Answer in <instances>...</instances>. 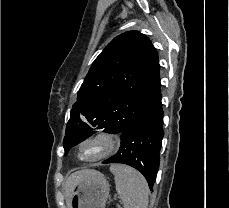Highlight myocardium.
<instances>
[{
  "mask_svg": "<svg viewBox=\"0 0 229 208\" xmlns=\"http://www.w3.org/2000/svg\"><path fill=\"white\" fill-rule=\"evenodd\" d=\"M112 137V138H111ZM84 147H113L107 153L93 158V159H83L80 156V149ZM123 145V138L120 132L110 129V128H99L89 135L83 137L76 146V156L79 161L83 163H97L110 157L114 156L119 152Z\"/></svg>",
  "mask_w": 229,
  "mask_h": 208,
  "instance_id": "myocardium-1",
  "label": "myocardium"
}]
</instances>
